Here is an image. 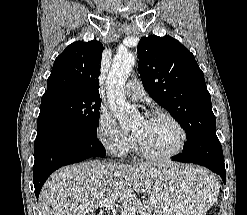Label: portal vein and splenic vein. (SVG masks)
Returning <instances> with one entry per match:
<instances>
[{
	"mask_svg": "<svg viewBox=\"0 0 247 215\" xmlns=\"http://www.w3.org/2000/svg\"><path fill=\"white\" fill-rule=\"evenodd\" d=\"M115 204L108 198H103L102 200H100L97 204H95L94 208H105V210H114L115 209ZM136 212V206H132L130 208H128V210H124L122 212V215H135Z\"/></svg>",
	"mask_w": 247,
	"mask_h": 215,
	"instance_id": "1",
	"label": "portal vein and splenic vein"
}]
</instances>
